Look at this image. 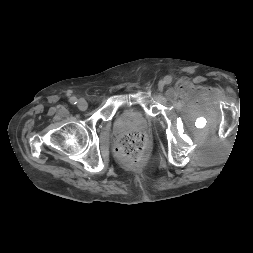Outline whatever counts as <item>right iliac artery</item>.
<instances>
[{
  "label": "right iliac artery",
  "mask_w": 253,
  "mask_h": 253,
  "mask_svg": "<svg viewBox=\"0 0 253 253\" xmlns=\"http://www.w3.org/2000/svg\"><path fill=\"white\" fill-rule=\"evenodd\" d=\"M69 101H70L71 104H74V105L78 103V100H77L76 97H71V98L69 99Z\"/></svg>",
  "instance_id": "1"
}]
</instances>
